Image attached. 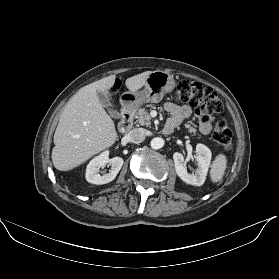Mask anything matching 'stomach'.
Returning a JSON list of instances; mask_svg holds the SVG:
<instances>
[{
    "label": "stomach",
    "mask_w": 279,
    "mask_h": 279,
    "mask_svg": "<svg viewBox=\"0 0 279 279\" xmlns=\"http://www.w3.org/2000/svg\"><path fill=\"white\" fill-rule=\"evenodd\" d=\"M175 87L172 75L164 71H153L146 79L144 90L141 92H125L121 95L120 103L123 110L133 112L143 103H158L165 93Z\"/></svg>",
    "instance_id": "1"
}]
</instances>
